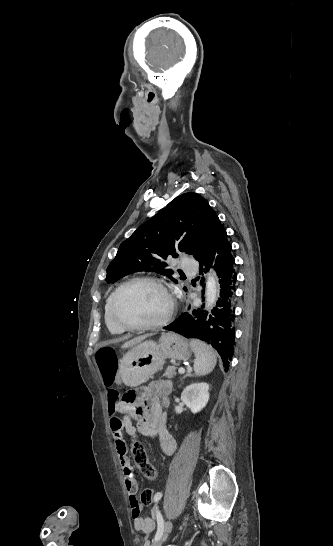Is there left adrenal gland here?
Masks as SVG:
<instances>
[{"instance_id": "1", "label": "left adrenal gland", "mask_w": 333, "mask_h": 546, "mask_svg": "<svg viewBox=\"0 0 333 546\" xmlns=\"http://www.w3.org/2000/svg\"><path fill=\"white\" fill-rule=\"evenodd\" d=\"M187 376H192V374H186L183 378H186Z\"/></svg>"}]
</instances>
